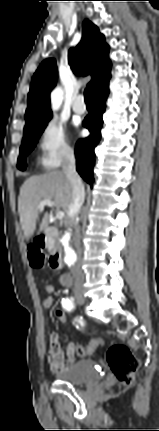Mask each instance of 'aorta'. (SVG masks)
Instances as JSON below:
<instances>
[{
	"mask_svg": "<svg viewBox=\"0 0 159 431\" xmlns=\"http://www.w3.org/2000/svg\"><path fill=\"white\" fill-rule=\"evenodd\" d=\"M63 99V92L60 88H56L51 94V101L53 108H58ZM72 235L66 232L63 235L62 241L64 246L65 262L68 265L74 264L76 261V254L74 250L70 247L69 242L71 241Z\"/></svg>",
	"mask_w": 159,
	"mask_h": 431,
	"instance_id": "obj_1",
	"label": "aorta"
}]
</instances>
